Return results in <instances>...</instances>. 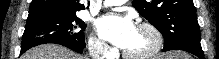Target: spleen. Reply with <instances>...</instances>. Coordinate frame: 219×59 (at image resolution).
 I'll return each mask as SVG.
<instances>
[{"label":"spleen","mask_w":219,"mask_h":59,"mask_svg":"<svg viewBox=\"0 0 219 59\" xmlns=\"http://www.w3.org/2000/svg\"><path fill=\"white\" fill-rule=\"evenodd\" d=\"M173 57H176V59H188L185 55L181 54V53H174Z\"/></svg>","instance_id":"obj_1"}]
</instances>
